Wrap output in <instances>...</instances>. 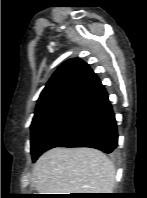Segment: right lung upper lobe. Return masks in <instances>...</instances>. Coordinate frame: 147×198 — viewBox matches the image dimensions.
<instances>
[{"label": "right lung upper lobe", "instance_id": "1", "mask_svg": "<svg viewBox=\"0 0 147 198\" xmlns=\"http://www.w3.org/2000/svg\"><path fill=\"white\" fill-rule=\"evenodd\" d=\"M101 85L91 68L81 59L64 62L43 89L36 110L57 104L75 105Z\"/></svg>", "mask_w": 147, "mask_h": 198}]
</instances>
